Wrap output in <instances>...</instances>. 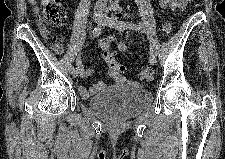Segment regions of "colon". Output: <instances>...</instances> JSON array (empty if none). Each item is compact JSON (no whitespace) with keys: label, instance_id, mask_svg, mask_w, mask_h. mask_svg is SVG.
<instances>
[{"label":"colon","instance_id":"colon-1","mask_svg":"<svg viewBox=\"0 0 225 159\" xmlns=\"http://www.w3.org/2000/svg\"><path fill=\"white\" fill-rule=\"evenodd\" d=\"M66 18V9L61 0L44 1L41 23L46 31L49 32L51 30L61 28L65 24ZM162 30L165 34H169L172 30L171 23L169 21H164L162 24ZM102 57L106 61L112 75L121 76L124 73L125 67L115 60L109 47L102 49ZM139 76L143 80H151V70L148 67H143L140 70Z\"/></svg>","mask_w":225,"mask_h":159}]
</instances>
